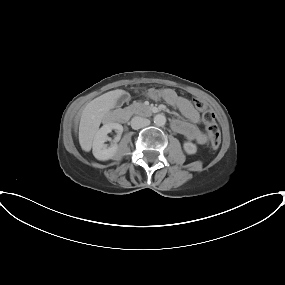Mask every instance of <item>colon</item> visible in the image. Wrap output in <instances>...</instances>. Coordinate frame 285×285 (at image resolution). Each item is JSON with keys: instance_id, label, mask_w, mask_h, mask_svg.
I'll use <instances>...</instances> for the list:
<instances>
[{"instance_id": "colon-1", "label": "colon", "mask_w": 285, "mask_h": 285, "mask_svg": "<svg viewBox=\"0 0 285 285\" xmlns=\"http://www.w3.org/2000/svg\"><path fill=\"white\" fill-rule=\"evenodd\" d=\"M193 104L202 114V119L207 127L212 148L217 149L221 143V133L215 119V114L201 99L194 98Z\"/></svg>"}]
</instances>
